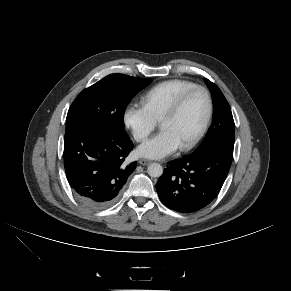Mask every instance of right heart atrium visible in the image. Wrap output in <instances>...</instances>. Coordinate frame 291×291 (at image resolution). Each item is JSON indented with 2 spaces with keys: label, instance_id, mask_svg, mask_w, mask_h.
Here are the masks:
<instances>
[{
  "label": "right heart atrium",
  "instance_id": "obj_1",
  "mask_svg": "<svg viewBox=\"0 0 291 291\" xmlns=\"http://www.w3.org/2000/svg\"><path fill=\"white\" fill-rule=\"evenodd\" d=\"M123 122L138 142L145 140L157 125V121L142 105L134 103L124 109Z\"/></svg>",
  "mask_w": 291,
  "mask_h": 291
}]
</instances>
